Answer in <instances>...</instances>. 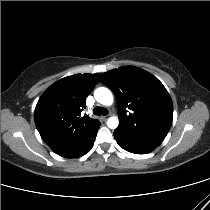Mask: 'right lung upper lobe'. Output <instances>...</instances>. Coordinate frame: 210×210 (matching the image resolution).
<instances>
[{
  "instance_id": "cb5924a9",
  "label": "right lung upper lobe",
  "mask_w": 210,
  "mask_h": 210,
  "mask_svg": "<svg viewBox=\"0 0 210 210\" xmlns=\"http://www.w3.org/2000/svg\"><path fill=\"white\" fill-rule=\"evenodd\" d=\"M99 74H76L52 84L40 97L34 120L43 141L58 155L66 156L97 133L100 122L87 114L86 97Z\"/></svg>"
}]
</instances>
